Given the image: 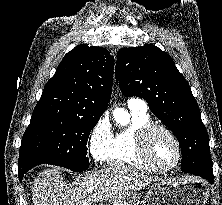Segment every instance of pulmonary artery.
<instances>
[{
  "instance_id": "pulmonary-artery-1",
  "label": "pulmonary artery",
  "mask_w": 222,
  "mask_h": 205,
  "mask_svg": "<svg viewBox=\"0 0 222 205\" xmlns=\"http://www.w3.org/2000/svg\"><path fill=\"white\" fill-rule=\"evenodd\" d=\"M127 104H128V107L131 109L147 111V104L139 98H130Z\"/></svg>"
}]
</instances>
